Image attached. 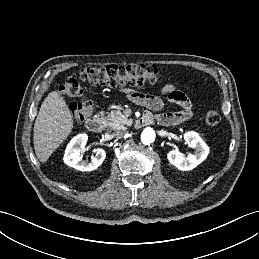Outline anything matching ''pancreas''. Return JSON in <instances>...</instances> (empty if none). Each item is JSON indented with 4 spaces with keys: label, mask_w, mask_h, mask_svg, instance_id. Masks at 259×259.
Instances as JSON below:
<instances>
[{
    "label": "pancreas",
    "mask_w": 259,
    "mask_h": 259,
    "mask_svg": "<svg viewBox=\"0 0 259 259\" xmlns=\"http://www.w3.org/2000/svg\"><path fill=\"white\" fill-rule=\"evenodd\" d=\"M107 125L112 129H126L131 126L132 120L128 119L121 111L113 110L104 117Z\"/></svg>",
    "instance_id": "obj_1"
}]
</instances>
